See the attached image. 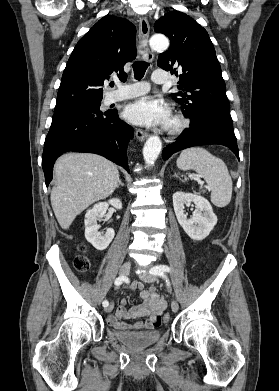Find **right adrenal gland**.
I'll return each mask as SVG.
<instances>
[{"label":"right adrenal gland","instance_id":"2a0ac1e0","mask_svg":"<svg viewBox=\"0 0 279 391\" xmlns=\"http://www.w3.org/2000/svg\"><path fill=\"white\" fill-rule=\"evenodd\" d=\"M124 186V184L122 183V181L121 180H119V183H118V185H117V188H119V186Z\"/></svg>","mask_w":279,"mask_h":391}]
</instances>
